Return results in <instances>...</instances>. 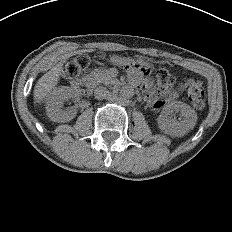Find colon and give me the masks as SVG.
Here are the masks:
<instances>
[{
    "mask_svg": "<svg viewBox=\"0 0 232 232\" xmlns=\"http://www.w3.org/2000/svg\"><path fill=\"white\" fill-rule=\"evenodd\" d=\"M90 60L87 56H78L69 61L63 69V77L66 79H76L89 67ZM148 73L146 68L141 69ZM174 85L173 75L166 69H160L156 76V89L159 93H168ZM187 97L192 105L201 109L205 105L204 87L200 82L190 81L186 85Z\"/></svg>",
    "mask_w": 232,
    "mask_h": 232,
    "instance_id": "1",
    "label": "colon"
}]
</instances>
